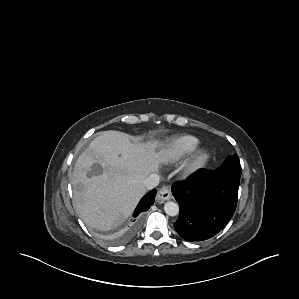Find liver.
<instances>
[{"label": "liver", "instance_id": "6515ba94", "mask_svg": "<svg viewBox=\"0 0 299 299\" xmlns=\"http://www.w3.org/2000/svg\"><path fill=\"white\" fill-rule=\"evenodd\" d=\"M158 140L131 142L125 133L104 131L77 159L71 176L77 213L90 228L108 231L126 220L145 193L143 180L160 163L177 158L156 148ZM94 165L101 170L88 176Z\"/></svg>", "mask_w": 299, "mask_h": 299}]
</instances>
